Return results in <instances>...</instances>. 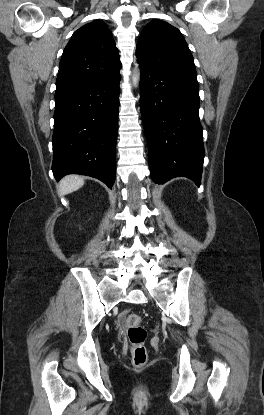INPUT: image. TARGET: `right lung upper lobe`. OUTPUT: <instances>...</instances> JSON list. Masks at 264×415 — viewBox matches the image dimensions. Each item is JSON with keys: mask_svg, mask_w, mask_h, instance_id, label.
Listing matches in <instances>:
<instances>
[{"mask_svg": "<svg viewBox=\"0 0 264 415\" xmlns=\"http://www.w3.org/2000/svg\"><path fill=\"white\" fill-rule=\"evenodd\" d=\"M121 62L112 32L96 20L74 32L62 54L56 92L108 80L119 74Z\"/></svg>", "mask_w": 264, "mask_h": 415, "instance_id": "cb5924a9", "label": "right lung upper lobe"}]
</instances>
